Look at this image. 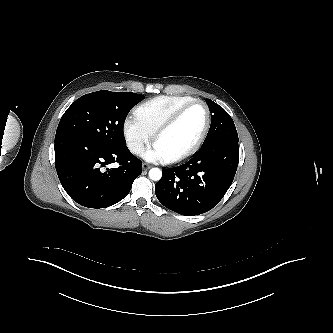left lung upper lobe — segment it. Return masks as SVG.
<instances>
[{
  "mask_svg": "<svg viewBox=\"0 0 333 333\" xmlns=\"http://www.w3.org/2000/svg\"><path fill=\"white\" fill-rule=\"evenodd\" d=\"M206 103L211 112V125L202 147L223 140L238 141L237 131L231 116L212 100L206 99Z\"/></svg>",
  "mask_w": 333,
  "mask_h": 333,
  "instance_id": "1",
  "label": "left lung upper lobe"
}]
</instances>
